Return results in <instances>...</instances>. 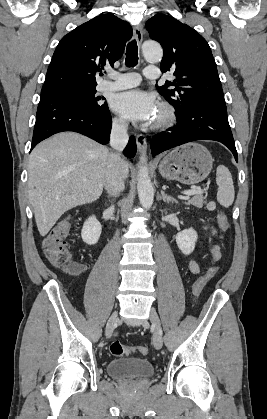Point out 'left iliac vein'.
<instances>
[{"mask_svg":"<svg viewBox=\"0 0 267 419\" xmlns=\"http://www.w3.org/2000/svg\"><path fill=\"white\" fill-rule=\"evenodd\" d=\"M150 321L155 328L154 336H153V345L156 349H161L163 340L162 334L160 332V320L157 312L154 309L150 310ZM143 326H147V323L144 322Z\"/></svg>","mask_w":267,"mask_h":419,"instance_id":"left-iliac-vein-1","label":"left iliac vein"}]
</instances>
